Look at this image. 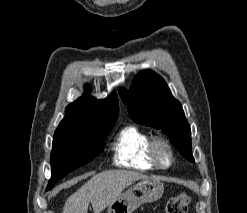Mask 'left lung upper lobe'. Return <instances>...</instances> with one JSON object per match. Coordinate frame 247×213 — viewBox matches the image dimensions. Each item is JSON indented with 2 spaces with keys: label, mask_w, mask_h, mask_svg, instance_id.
Segmentation results:
<instances>
[{
  "label": "left lung upper lobe",
  "mask_w": 247,
  "mask_h": 213,
  "mask_svg": "<svg viewBox=\"0 0 247 213\" xmlns=\"http://www.w3.org/2000/svg\"><path fill=\"white\" fill-rule=\"evenodd\" d=\"M119 94L132 120L161 129L183 157L191 162V131L182 106L165 81L151 70L135 76L131 89L120 88Z\"/></svg>",
  "instance_id": "left-lung-upper-lobe-1"
}]
</instances>
